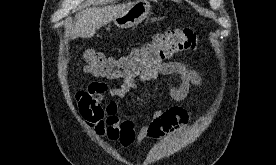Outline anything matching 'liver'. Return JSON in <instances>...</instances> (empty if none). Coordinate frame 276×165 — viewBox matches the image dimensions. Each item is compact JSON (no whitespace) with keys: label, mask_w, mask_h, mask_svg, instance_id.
I'll use <instances>...</instances> for the list:
<instances>
[{"label":"liver","mask_w":276,"mask_h":165,"mask_svg":"<svg viewBox=\"0 0 276 165\" xmlns=\"http://www.w3.org/2000/svg\"><path fill=\"white\" fill-rule=\"evenodd\" d=\"M134 2L82 10L75 16L74 25L67 31L71 39L92 38L97 30L128 10Z\"/></svg>","instance_id":"6515ba94"}]
</instances>
